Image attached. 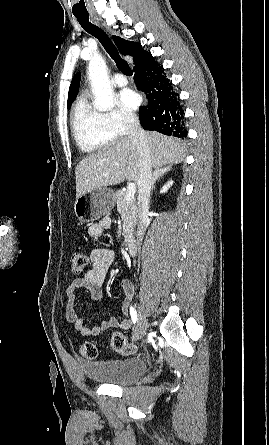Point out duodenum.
<instances>
[{"mask_svg": "<svg viewBox=\"0 0 269 445\" xmlns=\"http://www.w3.org/2000/svg\"><path fill=\"white\" fill-rule=\"evenodd\" d=\"M127 249H128L129 254L134 255L139 249L138 242L136 240H131L128 243Z\"/></svg>", "mask_w": 269, "mask_h": 445, "instance_id": "410a0bca", "label": "duodenum"}]
</instances>
